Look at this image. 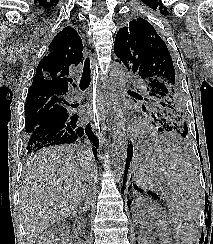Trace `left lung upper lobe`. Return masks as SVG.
I'll use <instances>...</instances> for the list:
<instances>
[{
    "label": "left lung upper lobe",
    "instance_id": "5c2ea615",
    "mask_svg": "<svg viewBox=\"0 0 213 244\" xmlns=\"http://www.w3.org/2000/svg\"><path fill=\"white\" fill-rule=\"evenodd\" d=\"M118 61L138 79L143 102L154 119L164 124V132L188 136L187 113L178 73L165 42L145 19L130 21L119 29L114 43ZM136 102V100H134Z\"/></svg>",
    "mask_w": 213,
    "mask_h": 244
}]
</instances>
